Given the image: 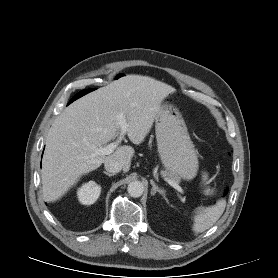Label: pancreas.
I'll return each mask as SVG.
<instances>
[{
    "mask_svg": "<svg viewBox=\"0 0 278 278\" xmlns=\"http://www.w3.org/2000/svg\"><path fill=\"white\" fill-rule=\"evenodd\" d=\"M163 174H164V175H168V176L170 177V179H171L172 181L176 182V183H178V182L180 181V178L177 177V176H174V175L169 174V173H167V172H163Z\"/></svg>",
    "mask_w": 278,
    "mask_h": 278,
    "instance_id": "pancreas-1",
    "label": "pancreas"
}]
</instances>
